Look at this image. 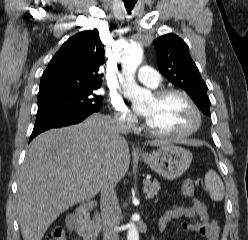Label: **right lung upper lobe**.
<instances>
[{
    "mask_svg": "<svg viewBox=\"0 0 248 240\" xmlns=\"http://www.w3.org/2000/svg\"><path fill=\"white\" fill-rule=\"evenodd\" d=\"M103 48L95 29L69 38L44 71L38 96L99 88L105 61Z\"/></svg>",
    "mask_w": 248,
    "mask_h": 240,
    "instance_id": "1",
    "label": "right lung upper lobe"
}]
</instances>
